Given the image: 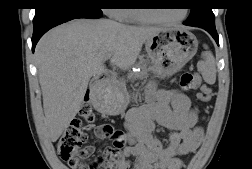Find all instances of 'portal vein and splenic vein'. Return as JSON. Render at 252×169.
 Instances as JSON below:
<instances>
[{"label": "portal vein and splenic vein", "instance_id": "18ae733b", "mask_svg": "<svg viewBox=\"0 0 252 169\" xmlns=\"http://www.w3.org/2000/svg\"><path fill=\"white\" fill-rule=\"evenodd\" d=\"M111 58V55H107L105 58H104V60H108V59H110Z\"/></svg>", "mask_w": 252, "mask_h": 169}]
</instances>
